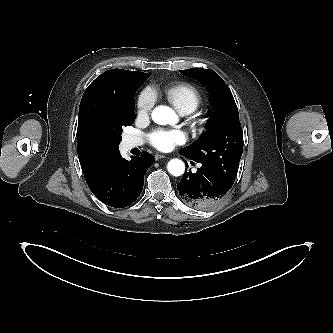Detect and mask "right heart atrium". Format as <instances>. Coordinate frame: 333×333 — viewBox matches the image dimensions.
<instances>
[{
	"label": "right heart atrium",
	"mask_w": 333,
	"mask_h": 333,
	"mask_svg": "<svg viewBox=\"0 0 333 333\" xmlns=\"http://www.w3.org/2000/svg\"><path fill=\"white\" fill-rule=\"evenodd\" d=\"M155 104L154 93L146 89L144 90L137 101L138 114L141 116L148 115Z\"/></svg>",
	"instance_id": "1"
}]
</instances>
